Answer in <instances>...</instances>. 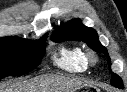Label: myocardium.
Instances as JSON below:
<instances>
[{
	"instance_id": "1",
	"label": "myocardium",
	"mask_w": 127,
	"mask_h": 92,
	"mask_svg": "<svg viewBox=\"0 0 127 92\" xmlns=\"http://www.w3.org/2000/svg\"><path fill=\"white\" fill-rule=\"evenodd\" d=\"M85 59L89 64H94L97 62V57L92 52L87 53Z\"/></svg>"
}]
</instances>
